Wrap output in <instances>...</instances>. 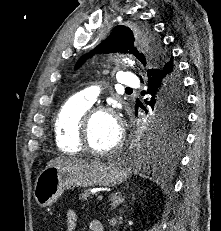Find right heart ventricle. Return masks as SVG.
Returning a JSON list of instances; mask_svg holds the SVG:
<instances>
[{
	"instance_id": "right-heart-ventricle-1",
	"label": "right heart ventricle",
	"mask_w": 221,
	"mask_h": 231,
	"mask_svg": "<svg viewBox=\"0 0 221 231\" xmlns=\"http://www.w3.org/2000/svg\"><path fill=\"white\" fill-rule=\"evenodd\" d=\"M91 104L77 96L69 98L59 109L54 121L57 148L66 154H76L82 150L79 143V123Z\"/></svg>"
}]
</instances>
